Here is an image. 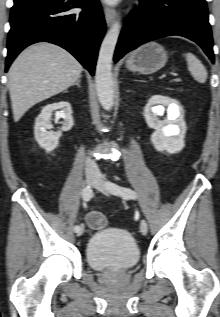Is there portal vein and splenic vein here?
I'll return each mask as SVG.
<instances>
[{
	"label": "portal vein and splenic vein",
	"instance_id": "18ae733b",
	"mask_svg": "<svg viewBox=\"0 0 220 317\" xmlns=\"http://www.w3.org/2000/svg\"><path fill=\"white\" fill-rule=\"evenodd\" d=\"M172 76L176 77L177 76V73H171Z\"/></svg>",
	"mask_w": 220,
	"mask_h": 317
}]
</instances>
